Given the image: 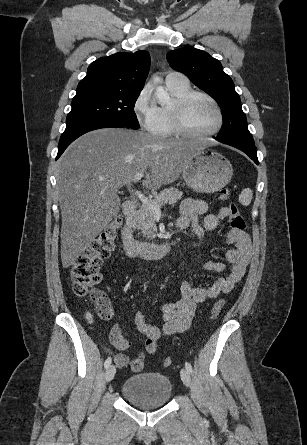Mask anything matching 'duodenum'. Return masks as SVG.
<instances>
[{"mask_svg": "<svg viewBox=\"0 0 307 445\" xmlns=\"http://www.w3.org/2000/svg\"><path fill=\"white\" fill-rule=\"evenodd\" d=\"M136 207V203L133 201L125 202L123 206L125 224L121 231V240L125 253L129 256L140 255L148 258H161L165 256L171 251V242L151 243L139 241L134 238L132 224Z\"/></svg>", "mask_w": 307, "mask_h": 445, "instance_id": "obj_1", "label": "duodenum"}]
</instances>
